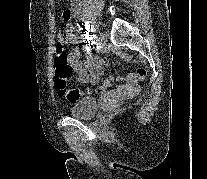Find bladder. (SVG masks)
I'll return each mask as SVG.
<instances>
[{"mask_svg": "<svg viewBox=\"0 0 207 179\" xmlns=\"http://www.w3.org/2000/svg\"><path fill=\"white\" fill-rule=\"evenodd\" d=\"M99 107V100L94 97H80L73 101L70 112L73 117L88 120L94 117Z\"/></svg>", "mask_w": 207, "mask_h": 179, "instance_id": "1", "label": "bladder"}]
</instances>
